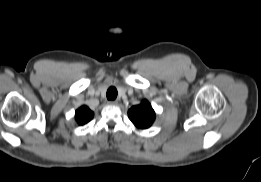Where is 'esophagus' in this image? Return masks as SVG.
Listing matches in <instances>:
<instances>
[{"instance_id": "obj_1", "label": "esophagus", "mask_w": 261, "mask_h": 182, "mask_svg": "<svg viewBox=\"0 0 261 182\" xmlns=\"http://www.w3.org/2000/svg\"><path fill=\"white\" fill-rule=\"evenodd\" d=\"M108 104L110 105H117L118 102L116 100L109 101Z\"/></svg>"}]
</instances>
